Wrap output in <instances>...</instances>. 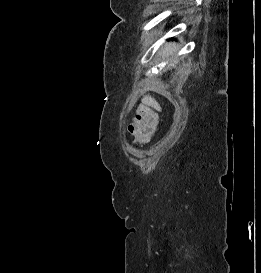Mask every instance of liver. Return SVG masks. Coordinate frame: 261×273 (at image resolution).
<instances>
[{
  "label": "liver",
  "instance_id": "liver-1",
  "mask_svg": "<svg viewBox=\"0 0 261 273\" xmlns=\"http://www.w3.org/2000/svg\"><path fill=\"white\" fill-rule=\"evenodd\" d=\"M177 50H178V47L175 44L169 43L164 47V49L162 51V56H163V58H167L169 56H172ZM142 103L154 108L157 111H161V107H160L159 103L155 100L154 97H152L150 95L144 96L142 98Z\"/></svg>",
  "mask_w": 261,
  "mask_h": 273
}]
</instances>
